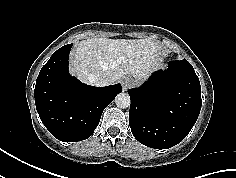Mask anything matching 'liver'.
Wrapping results in <instances>:
<instances>
[{"instance_id": "obj_1", "label": "liver", "mask_w": 236, "mask_h": 178, "mask_svg": "<svg viewBox=\"0 0 236 178\" xmlns=\"http://www.w3.org/2000/svg\"><path fill=\"white\" fill-rule=\"evenodd\" d=\"M161 47L150 39L88 38L71 53V72L81 81L91 75L107 76L110 84L126 75L143 81L162 61Z\"/></svg>"}]
</instances>
